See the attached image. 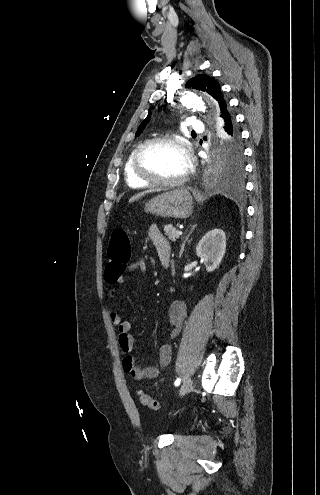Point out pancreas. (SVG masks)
Listing matches in <instances>:
<instances>
[{
  "label": "pancreas",
  "mask_w": 320,
  "mask_h": 495,
  "mask_svg": "<svg viewBox=\"0 0 320 495\" xmlns=\"http://www.w3.org/2000/svg\"><path fill=\"white\" fill-rule=\"evenodd\" d=\"M177 231V228L172 224H167L164 226L165 235L168 236V238L173 242L178 238V235L176 234Z\"/></svg>",
  "instance_id": "obj_1"
}]
</instances>
